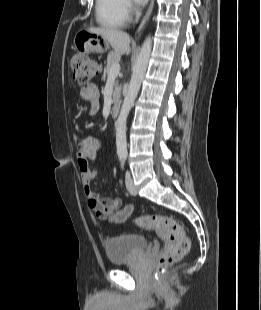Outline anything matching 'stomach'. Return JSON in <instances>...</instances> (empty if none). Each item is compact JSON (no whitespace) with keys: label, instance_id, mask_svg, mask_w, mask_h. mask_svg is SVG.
<instances>
[{"label":"stomach","instance_id":"0dacf381","mask_svg":"<svg viewBox=\"0 0 261 310\" xmlns=\"http://www.w3.org/2000/svg\"><path fill=\"white\" fill-rule=\"evenodd\" d=\"M74 45L76 49L103 53L108 50L109 43L100 35L89 31H80L75 35Z\"/></svg>","mask_w":261,"mask_h":310}]
</instances>
